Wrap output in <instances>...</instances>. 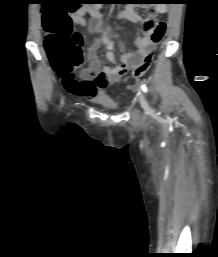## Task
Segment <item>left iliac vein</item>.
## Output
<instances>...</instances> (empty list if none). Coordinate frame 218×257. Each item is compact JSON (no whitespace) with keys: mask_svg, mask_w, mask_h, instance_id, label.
I'll list each match as a JSON object with an SVG mask.
<instances>
[{"mask_svg":"<svg viewBox=\"0 0 218 257\" xmlns=\"http://www.w3.org/2000/svg\"><path fill=\"white\" fill-rule=\"evenodd\" d=\"M138 99H139L140 105L144 109L145 113L146 114H151L152 113V109L149 106V104H148V102L146 100V97L143 94V92H141V91L138 92Z\"/></svg>","mask_w":218,"mask_h":257,"instance_id":"1","label":"left iliac vein"}]
</instances>
